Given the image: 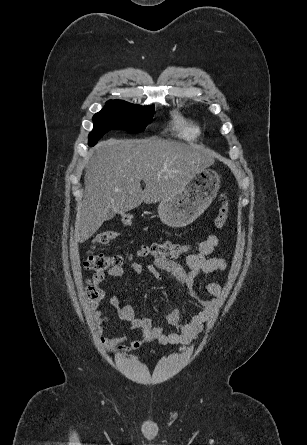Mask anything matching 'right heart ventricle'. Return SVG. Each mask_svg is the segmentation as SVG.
Returning <instances> with one entry per match:
<instances>
[{"label": "right heart ventricle", "instance_id": "right-heart-ventricle-1", "mask_svg": "<svg viewBox=\"0 0 307 445\" xmlns=\"http://www.w3.org/2000/svg\"><path fill=\"white\" fill-rule=\"evenodd\" d=\"M174 116L176 118H179V116L177 115V113L174 114ZM179 123V128H178V132L180 135L184 136V137H191L194 136L198 133V128L193 125V124H184L183 121L181 119H179L178 121Z\"/></svg>", "mask_w": 307, "mask_h": 445}]
</instances>
